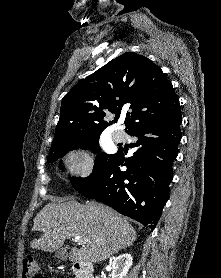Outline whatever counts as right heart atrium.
Returning a JSON list of instances; mask_svg holds the SVG:
<instances>
[{"instance_id": "right-heart-atrium-1", "label": "right heart atrium", "mask_w": 221, "mask_h": 278, "mask_svg": "<svg viewBox=\"0 0 221 278\" xmlns=\"http://www.w3.org/2000/svg\"><path fill=\"white\" fill-rule=\"evenodd\" d=\"M64 163L69 173L81 179H87L94 173V161L85 147H74L64 156Z\"/></svg>"}]
</instances>
